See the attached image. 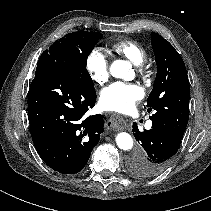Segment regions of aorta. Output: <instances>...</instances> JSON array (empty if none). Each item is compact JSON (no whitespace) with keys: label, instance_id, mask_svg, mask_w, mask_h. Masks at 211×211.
<instances>
[{"label":"aorta","instance_id":"aorta-1","mask_svg":"<svg viewBox=\"0 0 211 211\" xmlns=\"http://www.w3.org/2000/svg\"><path fill=\"white\" fill-rule=\"evenodd\" d=\"M131 66L123 60H115L110 66V73L115 78H125ZM116 143L122 150H130L133 147V139L126 132H120L116 136Z\"/></svg>","mask_w":211,"mask_h":211}]
</instances>
